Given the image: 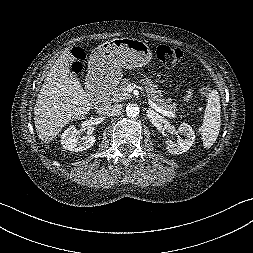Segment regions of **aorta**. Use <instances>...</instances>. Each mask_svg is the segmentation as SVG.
Instances as JSON below:
<instances>
[{
  "label": "aorta",
  "instance_id": "obj_1",
  "mask_svg": "<svg viewBox=\"0 0 253 253\" xmlns=\"http://www.w3.org/2000/svg\"><path fill=\"white\" fill-rule=\"evenodd\" d=\"M139 112H140V109H139L138 105H136V104H129L126 107V114L129 117L134 118L139 115Z\"/></svg>",
  "mask_w": 253,
  "mask_h": 253
}]
</instances>
